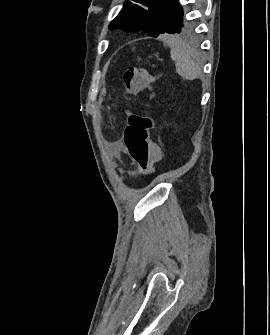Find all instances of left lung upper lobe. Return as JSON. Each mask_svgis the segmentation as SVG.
I'll return each instance as SVG.
<instances>
[{
	"label": "left lung upper lobe",
	"instance_id": "1",
	"mask_svg": "<svg viewBox=\"0 0 270 335\" xmlns=\"http://www.w3.org/2000/svg\"><path fill=\"white\" fill-rule=\"evenodd\" d=\"M129 1L109 25L110 30L124 29L126 32H147L152 37L159 34L186 35L192 24L184 16L178 0H134Z\"/></svg>",
	"mask_w": 270,
	"mask_h": 335
}]
</instances>
